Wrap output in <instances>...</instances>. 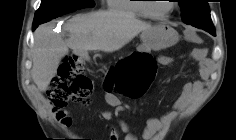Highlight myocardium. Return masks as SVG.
I'll return each instance as SVG.
<instances>
[{
    "label": "myocardium",
    "instance_id": "1",
    "mask_svg": "<svg viewBox=\"0 0 236 140\" xmlns=\"http://www.w3.org/2000/svg\"><path fill=\"white\" fill-rule=\"evenodd\" d=\"M144 1H149V0H144ZM170 1H173V0H170ZM170 5H171L170 9L163 14L155 13L151 8V4L144 3L143 7L147 16L153 19L161 20V19L167 18L176 9V5L174 2L170 3Z\"/></svg>",
    "mask_w": 236,
    "mask_h": 140
}]
</instances>
